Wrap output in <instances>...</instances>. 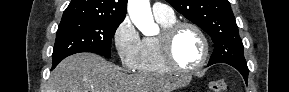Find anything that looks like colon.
Wrapping results in <instances>:
<instances>
[{"label":"colon","mask_w":289,"mask_h":92,"mask_svg":"<svg viewBox=\"0 0 289 92\" xmlns=\"http://www.w3.org/2000/svg\"><path fill=\"white\" fill-rule=\"evenodd\" d=\"M210 89L213 92H226L228 85L225 80L219 79L210 83Z\"/></svg>","instance_id":"obj_1"}]
</instances>
